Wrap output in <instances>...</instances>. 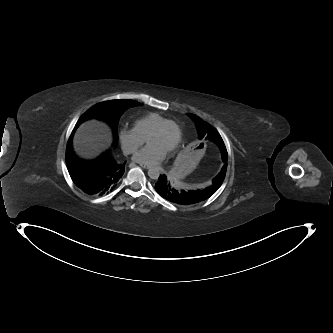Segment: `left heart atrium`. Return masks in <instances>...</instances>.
Returning a JSON list of instances; mask_svg holds the SVG:
<instances>
[{
	"mask_svg": "<svg viewBox=\"0 0 333 333\" xmlns=\"http://www.w3.org/2000/svg\"><path fill=\"white\" fill-rule=\"evenodd\" d=\"M166 153L167 150L155 144H147L134 155L133 160L138 163L157 164L165 157Z\"/></svg>",
	"mask_w": 333,
	"mask_h": 333,
	"instance_id": "1",
	"label": "left heart atrium"
}]
</instances>
